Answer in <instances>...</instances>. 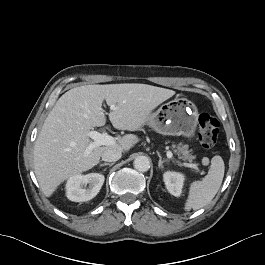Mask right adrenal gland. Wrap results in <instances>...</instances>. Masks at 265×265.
<instances>
[{
  "label": "right adrenal gland",
  "mask_w": 265,
  "mask_h": 265,
  "mask_svg": "<svg viewBox=\"0 0 265 265\" xmlns=\"http://www.w3.org/2000/svg\"><path fill=\"white\" fill-rule=\"evenodd\" d=\"M113 165V163H102V164H100V166H109V167H111Z\"/></svg>",
  "instance_id": "right-adrenal-gland-1"
}]
</instances>
